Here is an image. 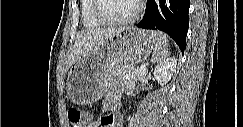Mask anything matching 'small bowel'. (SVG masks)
<instances>
[{"label":"small bowel","instance_id":"obj_1","mask_svg":"<svg viewBox=\"0 0 243 127\" xmlns=\"http://www.w3.org/2000/svg\"><path fill=\"white\" fill-rule=\"evenodd\" d=\"M105 105L110 108H116L119 105L118 96L115 92H111L105 100ZM87 127H98L100 125L105 127H119L120 120L117 117L106 116L101 119V121H96L92 118L90 114L86 115Z\"/></svg>","mask_w":243,"mask_h":127}]
</instances>
